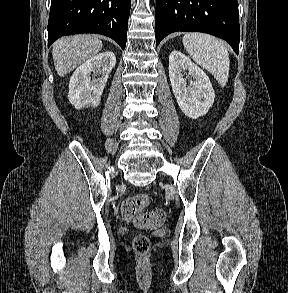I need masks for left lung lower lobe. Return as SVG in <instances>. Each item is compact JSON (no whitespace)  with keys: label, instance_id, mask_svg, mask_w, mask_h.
I'll return each instance as SVG.
<instances>
[{"label":"left lung lower lobe","instance_id":"left-lung-lower-lobe-1","mask_svg":"<svg viewBox=\"0 0 288 293\" xmlns=\"http://www.w3.org/2000/svg\"><path fill=\"white\" fill-rule=\"evenodd\" d=\"M176 31L204 32L226 40L239 51L237 0H156V45Z\"/></svg>","mask_w":288,"mask_h":293}]
</instances>
